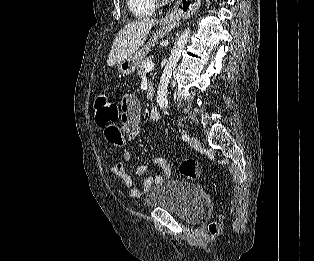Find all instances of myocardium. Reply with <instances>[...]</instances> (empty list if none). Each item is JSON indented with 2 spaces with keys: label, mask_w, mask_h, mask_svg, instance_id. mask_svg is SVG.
I'll return each mask as SVG.
<instances>
[{
  "label": "myocardium",
  "mask_w": 314,
  "mask_h": 261,
  "mask_svg": "<svg viewBox=\"0 0 314 261\" xmlns=\"http://www.w3.org/2000/svg\"><path fill=\"white\" fill-rule=\"evenodd\" d=\"M167 0H155L158 5H163V3Z\"/></svg>",
  "instance_id": "f54148a6"
}]
</instances>
